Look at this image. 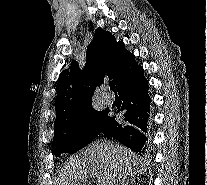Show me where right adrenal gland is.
I'll return each instance as SVG.
<instances>
[{
    "mask_svg": "<svg viewBox=\"0 0 207 185\" xmlns=\"http://www.w3.org/2000/svg\"><path fill=\"white\" fill-rule=\"evenodd\" d=\"M120 185H135L134 179H122Z\"/></svg>",
    "mask_w": 207,
    "mask_h": 185,
    "instance_id": "right-adrenal-gland-1",
    "label": "right adrenal gland"
}]
</instances>
